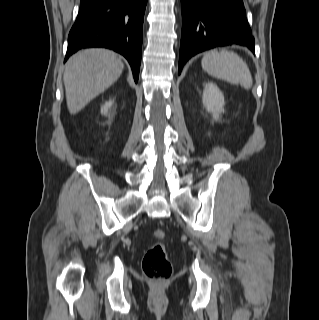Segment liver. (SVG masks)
Masks as SVG:
<instances>
[{
  "mask_svg": "<svg viewBox=\"0 0 319 320\" xmlns=\"http://www.w3.org/2000/svg\"><path fill=\"white\" fill-rule=\"evenodd\" d=\"M123 68L117 54L107 49H85L70 57L63 76L70 114L78 113L115 83Z\"/></svg>",
  "mask_w": 319,
  "mask_h": 320,
  "instance_id": "liver-1",
  "label": "liver"
}]
</instances>
